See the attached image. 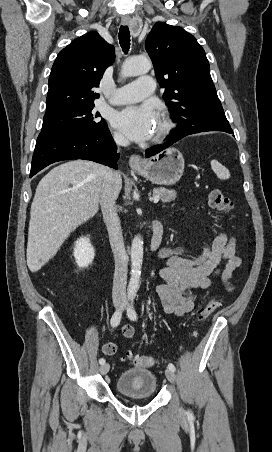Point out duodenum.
Instances as JSON below:
<instances>
[{
  "instance_id": "obj_1",
  "label": "duodenum",
  "mask_w": 272,
  "mask_h": 452,
  "mask_svg": "<svg viewBox=\"0 0 272 452\" xmlns=\"http://www.w3.org/2000/svg\"><path fill=\"white\" fill-rule=\"evenodd\" d=\"M163 237V225L159 219L153 220V234L149 243V248L156 251L160 246Z\"/></svg>"
}]
</instances>
